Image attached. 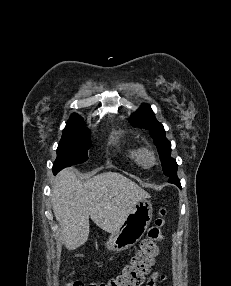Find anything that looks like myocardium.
Returning a JSON list of instances; mask_svg holds the SVG:
<instances>
[{
  "mask_svg": "<svg viewBox=\"0 0 231 286\" xmlns=\"http://www.w3.org/2000/svg\"><path fill=\"white\" fill-rule=\"evenodd\" d=\"M157 163V156L150 148H143L142 152V165L146 168L155 166Z\"/></svg>",
  "mask_w": 231,
  "mask_h": 286,
  "instance_id": "obj_1",
  "label": "myocardium"
}]
</instances>
